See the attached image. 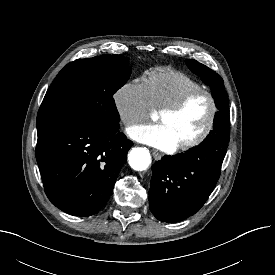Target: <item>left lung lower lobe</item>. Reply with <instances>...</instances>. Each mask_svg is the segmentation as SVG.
Segmentation results:
<instances>
[{
	"mask_svg": "<svg viewBox=\"0 0 275 275\" xmlns=\"http://www.w3.org/2000/svg\"><path fill=\"white\" fill-rule=\"evenodd\" d=\"M228 142L203 141L185 153L165 155L152 165L150 210L163 222H179L195 214L213 191Z\"/></svg>",
	"mask_w": 275,
	"mask_h": 275,
	"instance_id": "obj_1",
	"label": "left lung lower lobe"
}]
</instances>
